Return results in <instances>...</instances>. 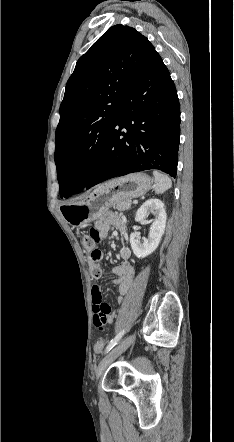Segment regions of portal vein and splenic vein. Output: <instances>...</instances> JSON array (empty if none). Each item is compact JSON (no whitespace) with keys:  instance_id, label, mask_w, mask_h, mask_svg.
<instances>
[{"instance_id":"obj_1","label":"portal vein and splenic vein","mask_w":234,"mask_h":442,"mask_svg":"<svg viewBox=\"0 0 234 442\" xmlns=\"http://www.w3.org/2000/svg\"><path fill=\"white\" fill-rule=\"evenodd\" d=\"M133 203H134V204H137V201H134Z\"/></svg>"}]
</instances>
